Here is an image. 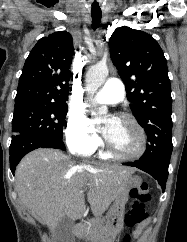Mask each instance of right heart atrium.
Segmentation results:
<instances>
[{
	"mask_svg": "<svg viewBox=\"0 0 187 242\" xmlns=\"http://www.w3.org/2000/svg\"><path fill=\"white\" fill-rule=\"evenodd\" d=\"M65 138L69 150L81 156L91 155L101 144L90 120L82 112L69 114Z\"/></svg>",
	"mask_w": 187,
	"mask_h": 242,
	"instance_id": "obj_1",
	"label": "right heart atrium"
}]
</instances>
